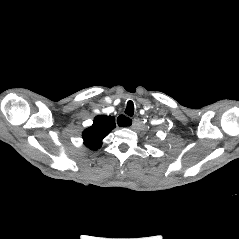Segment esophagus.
Here are the masks:
<instances>
[{
    "instance_id": "esophagus-1",
    "label": "esophagus",
    "mask_w": 239,
    "mask_h": 239,
    "mask_svg": "<svg viewBox=\"0 0 239 239\" xmlns=\"http://www.w3.org/2000/svg\"><path fill=\"white\" fill-rule=\"evenodd\" d=\"M117 124L120 127H127V128H133L136 125V120H132L124 115H120L117 118Z\"/></svg>"
}]
</instances>
